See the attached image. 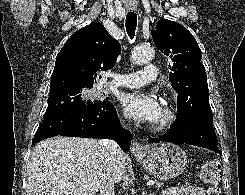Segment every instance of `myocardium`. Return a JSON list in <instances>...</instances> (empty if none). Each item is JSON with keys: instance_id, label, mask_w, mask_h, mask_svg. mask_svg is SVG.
Here are the masks:
<instances>
[{"instance_id": "f54148a6", "label": "myocardium", "mask_w": 245, "mask_h": 195, "mask_svg": "<svg viewBox=\"0 0 245 195\" xmlns=\"http://www.w3.org/2000/svg\"><path fill=\"white\" fill-rule=\"evenodd\" d=\"M178 120V112L174 106L164 104L162 108V117L151 126L153 132H163L170 129Z\"/></svg>"}]
</instances>
